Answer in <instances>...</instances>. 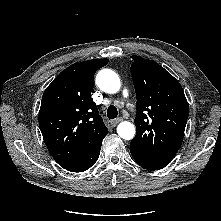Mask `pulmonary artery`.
<instances>
[{
    "label": "pulmonary artery",
    "mask_w": 221,
    "mask_h": 221,
    "mask_svg": "<svg viewBox=\"0 0 221 221\" xmlns=\"http://www.w3.org/2000/svg\"><path fill=\"white\" fill-rule=\"evenodd\" d=\"M123 95H124L125 97H127V95H128L127 90H123Z\"/></svg>",
    "instance_id": "1"
}]
</instances>
